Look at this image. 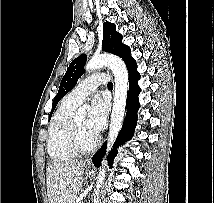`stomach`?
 <instances>
[{"label": "stomach", "mask_w": 214, "mask_h": 203, "mask_svg": "<svg viewBox=\"0 0 214 203\" xmlns=\"http://www.w3.org/2000/svg\"><path fill=\"white\" fill-rule=\"evenodd\" d=\"M86 173H87L88 175H91V174L93 173V171L89 169V170L86 171Z\"/></svg>", "instance_id": "obj_1"}]
</instances>
